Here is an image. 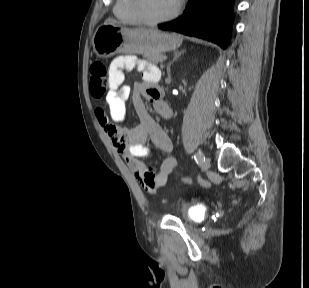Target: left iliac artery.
<instances>
[{"label":"left iliac artery","instance_id":"44dca946","mask_svg":"<svg viewBox=\"0 0 309 288\" xmlns=\"http://www.w3.org/2000/svg\"><path fill=\"white\" fill-rule=\"evenodd\" d=\"M194 159H195L196 163L201 164L203 161H205V156L201 151H197L194 154Z\"/></svg>","mask_w":309,"mask_h":288}]
</instances>
